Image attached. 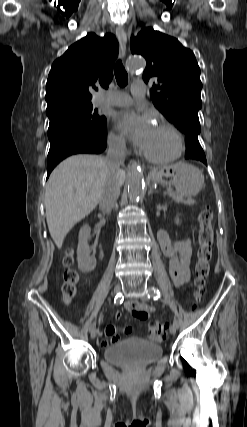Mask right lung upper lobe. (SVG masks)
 Masks as SVG:
<instances>
[{
    "label": "right lung upper lobe",
    "mask_w": 247,
    "mask_h": 427,
    "mask_svg": "<svg viewBox=\"0 0 247 427\" xmlns=\"http://www.w3.org/2000/svg\"><path fill=\"white\" fill-rule=\"evenodd\" d=\"M118 43L112 34H87L54 61L46 84V113L91 104V91L108 88Z\"/></svg>",
    "instance_id": "obj_1"
}]
</instances>
